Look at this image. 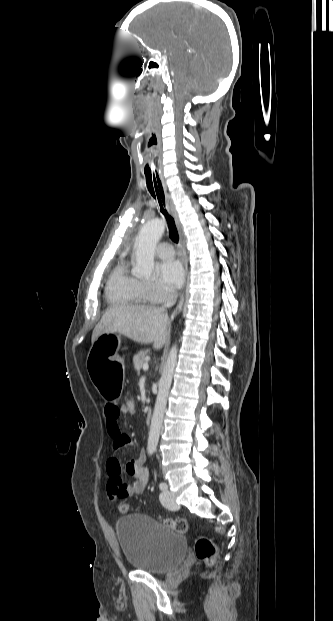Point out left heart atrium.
Listing matches in <instances>:
<instances>
[{"instance_id":"obj_1","label":"left heart atrium","mask_w":333,"mask_h":621,"mask_svg":"<svg viewBox=\"0 0 333 621\" xmlns=\"http://www.w3.org/2000/svg\"><path fill=\"white\" fill-rule=\"evenodd\" d=\"M160 282L169 290L179 288L184 281V269L177 260H168L157 267Z\"/></svg>"}]
</instances>
